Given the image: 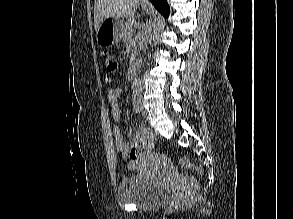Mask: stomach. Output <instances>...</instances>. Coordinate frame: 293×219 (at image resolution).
Here are the masks:
<instances>
[{"instance_id":"0dacf381","label":"stomach","mask_w":293,"mask_h":219,"mask_svg":"<svg viewBox=\"0 0 293 219\" xmlns=\"http://www.w3.org/2000/svg\"><path fill=\"white\" fill-rule=\"evenodd\" d=\"M142 8L146 12L151 11V7L142 4ZM124 32L123 20L119 17H108L100 25L96 32L97 44L101 47H112L120 42Z\"/></svg>"}]
</instances>
